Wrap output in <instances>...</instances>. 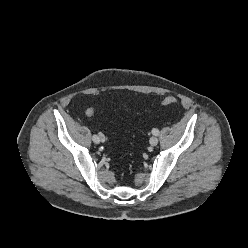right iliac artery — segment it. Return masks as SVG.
Here are the masks:
<instances>
[{
  "label": "right iliac artery",
  "instance_id": "1",
  "mask_svg": "<svg viewBox=\"0 0 248 248\" xmlns=\"http://www.w3.org/2000/svg\"><path fill=\"white\" fill-rule=\"evenodd\" d=\"M92 140H93V144H94V145H98V144H99L97 135H93V136H92Z\"/></svg>",
  "mask_w": 248,
  "mask_h": 248
}]
</instances>
